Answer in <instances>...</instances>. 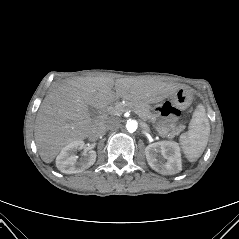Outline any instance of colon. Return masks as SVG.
<instances>
[{
	"label": "colon",
	"instance_id": "5ec220e1",
	"mask_svg": "<svg viewBox=\"0 0 239 239\" xmlns=\"http://www.w3.org/2000/svg\"><path fill=\"white\" fill-rule=\"evenodd\" d=\"M178 97L181 102L185 101V97L182 91L178 93ZM159 110L161 111L162 115L169 116L173 119H177L180 115V111L172 106L169 102L162 104Z\"/></svg>",
	"mask_w": 239,
	"mask_h": 239
}]
</instances>
